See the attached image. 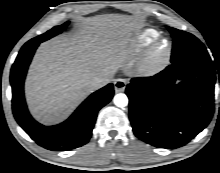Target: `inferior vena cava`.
<instances>
[{"mask_svg": "<svg viewBox=\"0 0 220 173\" xmlns=\"http://www.w3.org/2000/svg\"><path fill=\"white\" fill-rule=\"evenodd\" d=\"M112 81V76L96 77L91 81V86L94 90L99 89Z\"/></svg>", "mask_w": 220, "mask_h": 173, "instance_id": "obj_1", "label": "inferior vena cava"}]
</instances>
